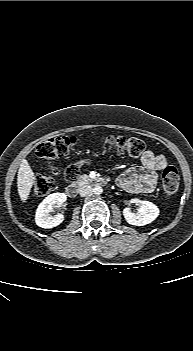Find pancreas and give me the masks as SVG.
Instances as JSON below:
<instances>
[{"label": "pancreas", "instance_id": "cf45deb5", "mask_svg": "<svg viewBox=\"0 0 193 351\" xmlns=\"http://www.w3.org/2000/svg\"><path fill=\"white\" fill-rule=\"evenodd\" d=\"M91 179L87 176V175H81L79 178H78V183H82V182H88L90 181Z\"/></svg>", "mask_w": 193, "mask_h": 351}]
</instances>
